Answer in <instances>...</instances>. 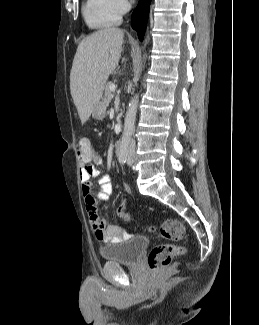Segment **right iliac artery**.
<instances>
[{
    "label": "right iliac artery",
    "instance_id": "right-iliac-artery-1",
    "mask_svg": "<svg viewBox=\"0 0 259 325\" xmlns=\"http://www.w3.org/2000/svg\"><path fill=\"white\" fill-rule=\"evenodd\" d=\"M118 160L121 164H124L127 160V145L124 144L121 152L118 154Z\"/></svg>",
    "mask_w": 259,
    "mask_h": 325
}]
</instances>
